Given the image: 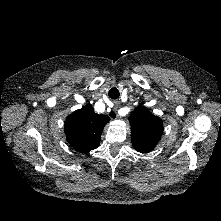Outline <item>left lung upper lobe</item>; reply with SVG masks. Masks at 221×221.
<instances>
[{
	"label": "left lung upper lobe",
	"instance_id": "obj_1",
	"mask_svg": "<svg viewBox=\"0 0 221 221\" xmlns=\"http://www.w3.org/2000/svg\"><path fill=\"white\" fill-rule=\"evenodd\" d=\"M130 123L133 147L141 153L152 151L161 139L162 120L145 107H137L130 116Z\"/></svg>",
	"mask_w": 221,
	"mask_h": 221
}]
</instances>
